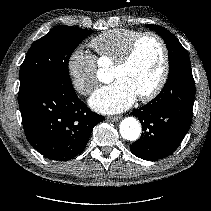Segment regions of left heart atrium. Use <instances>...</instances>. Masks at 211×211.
Here are the masks:
<instances>
[{
  "mask_svg": "<svg viewBox=\"0 0 211 211\" xmlns=\"http://www.w3.org/2000/svg\"><path fill=\"white\" fill-rule=\"evenodd\" d=\"M137 97L136 92L128 83L123 80H115L96 90L89 103L98 112L114 114L128 109Z\"/></svg>",
  "mask_w": 211,
  "mask_h": 211,
  "instance_id": "1",
  "label": "left heart atrium"
}]
</instances>
